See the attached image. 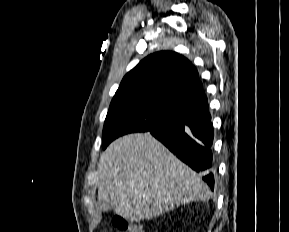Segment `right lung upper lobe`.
Wrapping results in <instances>:
<instances>
[{
  "label": "right lung upper lobe",
  "instance_id": "1",
  "mask_svg": "<svg viewBox=\"0 0 289 232\" xmlns=\"http://www.w3.org/2000/svg\"><path fill=\"white\" fill-rule=\"evenodd\" d=\"M143 98L181 111L207 105L197 69L175 52L161 51L128 72L114 98Z\"/></svg>",
  "mask_w": 289,
  "mask_h": 232
}]
</instances>
